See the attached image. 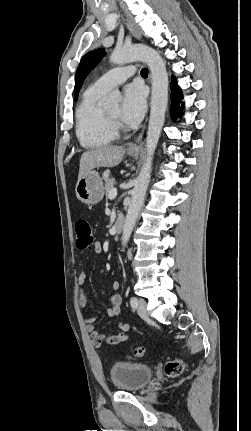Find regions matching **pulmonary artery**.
Wrapping results in <instances>:
<instances>
[{
    "mask_svg": "<svg viewBox=\"0 0 251 431\" xmlns=\"http://www.w3.org/2000/svg\"><path fill=\"white\" fill-rule=\"evenodd\" d=\"M134 72L135 68L133 66L115 68L98 78L92 86L100 91L108 92L112 88L124 83Z\"/></svg>",
    "mask_w": 251,
    "mask_h": 431,
    "instance_id": "e3ab8cb5",
    "label": "pulmonary artery"
}]
</instances>
